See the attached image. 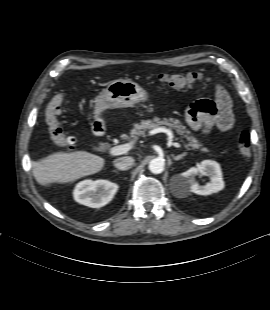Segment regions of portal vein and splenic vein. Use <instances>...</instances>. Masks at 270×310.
I'll return each mask as SVG.
<instances>
[{"mask_svg":"<svg viewBox=\"0 0 270 310\" xmlns=\"http://www.w3.org/2000/svg\"><path fill=\"white\" fill-rule=\"evenodd\" d=\"M156 133L158 132H164L168 135L169 138V142L171 145H173L176 148H181V144L177 143V142H172V138H173V134L169 129H165V128H157L155 130ZM131 148V144H123V145H118L115 147H112L109 149V154L112 156H117V155H122L125 154L126 152H128Z\"/></svg>","mask_w":270,"mask_h":310,"instance_id":"portal-vein-and-splenic-vein-1","label":"portal vein and splenic vein"}]
</instances>
